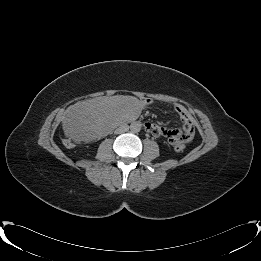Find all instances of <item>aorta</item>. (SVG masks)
<instances>
[{"label": "aorta", "instance_id": "1", "mask_svg": "<svg viewBox=\"0 0 261 261\" xmlns=\"http://www.w3.org/2000/svg\"><path fill=\"white\" fill-rule=\"evenodd\" d=\"M140 129H141V125H140L139 123L134 122V123L131 124V130H132L133 132H135V133H136V132H139Z\"/></svg>", "mask_w": 261, "mask_h": 261}]
</instances>
